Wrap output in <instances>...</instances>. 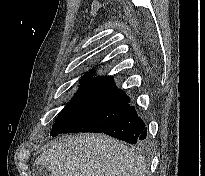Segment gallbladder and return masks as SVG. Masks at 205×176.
<instances>
[{
    "instance_id": "obj_1",
    "label": "gallbladder",
    "mask_w": 205,
    "mask_h": 176,
    "mask_svg": "<svg viewBox=\"0 0 205 176\" xmlns=\"http://www.w3.org/2000/svg\"><path fill=\"white\" fill-rule=\"evenodd\" d=\"M32 176H49V171L42 165H34Z\"/></svg>"
}]
</instances>
